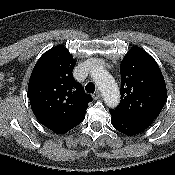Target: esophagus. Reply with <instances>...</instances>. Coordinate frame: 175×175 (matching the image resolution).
<instances>
[{
  "mask_svg": "<svg viewBox=\"0 0 175 175\" xmlns=\"http://www.w3.org/2000/svg\"><path fill=\"white\" fill-rule=\"evenodd\" d=\"M101 97V92L99 90H97L94 94H93V99L97 100Z\"/></svg>",
  "mask_w": 175,
  "mask_h": 175,
  "instance_id": "obj_1",
  "label": "esophagus"
}]
</instances>
